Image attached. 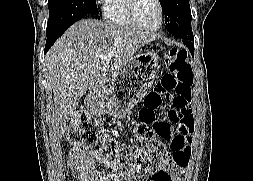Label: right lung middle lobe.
<instances>
[{
    "label": "right lung middle lobe",
    "mask_w": 253,
    "mask_h": 181,
    "mask_svg": "<svg viewBox=\"0 0 253 181\" xmlns=\"http://www.w3.org/2000/svg\"><path fill=\"white\" fill-rule=\"evenodd\" d=\"M46 34L57 33L89 14H98L96 0H48Z\"/></svg>",
    "instance_id": "obj_1"
}]
</instances>
